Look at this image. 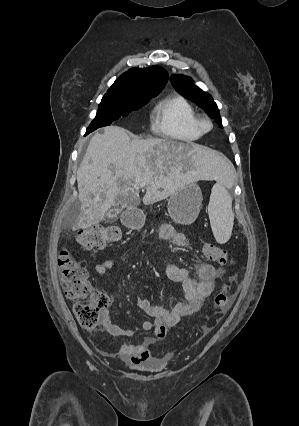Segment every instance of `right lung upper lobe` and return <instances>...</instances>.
<instances>
[{"label":"right lung upper lobe","mask_w":299,"mask_h":426,"mask_svg":"<svg viewBox=\"0 0 299 426\" xmlns=\"http://www.w3.org/2000/svg\"><path fill=\"white\" fill-rule=\"evenodd\" d=\"M168 80V73L161 67L130 69L118 78L107 93L133 99L147 91H161Z\"/></svg>","instance_id":"cb5924a9"}]
</instances>
